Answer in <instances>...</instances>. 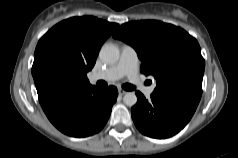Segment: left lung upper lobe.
<instances>
[{
    "label": "left lung upper lobe",
    "mask_w": 238,
    "mask_h": 158,
    "mask_svg": "<svg viewBox=\"0 0 238 158\" xmlns=\"http://www.w3.org/2000/svg\"><path fill=\"white\" fill-rule=\"evenodd\" d=\"M113 37L136 50L141 72L156 79L154 91L202 85L205 61L200 46L182 28L156 20L134 21L121 25Z\"/></svg>",
    "instance_id": "1"
}]
</instances>
